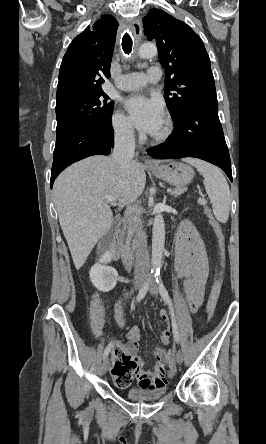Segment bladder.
Returning <instances> with one entry per match:
<instances>
[{"mask_svg": "<svg viewBox=\"0 0 266 444\" xmlns=\"http://www.w3.org/2000/svg\"><path fill=\"white\" fill-rule=\"evenodd\" d=\"M167 393V388H155V389H138L131 388L129 389L125 395L127 398L132 400H158L162 398Z\"/></svg>", "mask_w": 266, "mask_h": 444, "instance_id": "1", "label": "bladder"}]
</instances>
